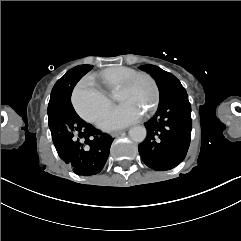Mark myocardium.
<instances>
[{
	"mask_svg": "<svg viewBox=\"0 0 241 241\" xmlns=\"http://www.w3.org/2000/svg\"><path fill=\"white\" fill-rule=\"evenodd\" d=\"M141 76H145V74L143 72H133V73H129L126 74L122 77L121 79V85H127L131 82V80L135 77H141ZM151 78V77H150ZM156 83V81H154ZM156 91H157V86H156ZM156 95V94H155ZM156 98V96H155ZM155 100V99H154ZM154 104V103H153ZM152 107V106H151Z\"/></svg>",
	"mask_w": 241,
	"mask_h": 241,
	"instance_id": "obj_1",
	"label": "myocardium"
}]
</instances>
